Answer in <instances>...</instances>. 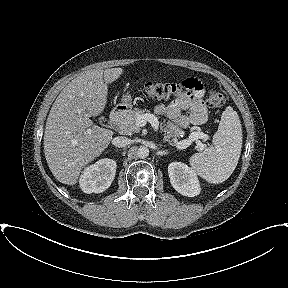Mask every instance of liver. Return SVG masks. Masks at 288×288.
<instances>
[{"mask_svg":"<svg viewBox=\"0 0 288 288\" xmlns=\"http://www.w3.org/2000/svg\"><path fill=\"white\" fill-rule=\"evenodd\" d=\"M122 73V68L83 73L53 103L43 144L48 167L59 182L76 184L82 169L108 147L113 131L94 125L90 117L103 112L108 84Z\"/></svg>","mask_w":288,"mask_h":288,"instance_id":"1","label":"liver"}]
</instances>
